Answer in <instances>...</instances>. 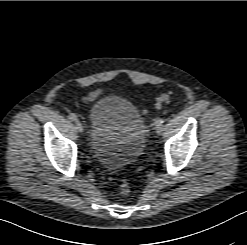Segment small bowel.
Listing matches in <instances>:
<instances>
[{"label":"small bowel","instance_id":"obj_1","mask_svg":"<svg viewBox=\"0 0 247 245\" xmlns=\"http://www.w3.org/2000/svg\"><path fill=\"white\" fill-rule=\"evenodd\" d=\"M103 93H104V88L99 87L97 89L90 91L88 94L83 96L81 99H82V101H85V102L94 101L97 98H99Z\"/></svg>","mask_w":247,"mask_h":245}]
</instances>
